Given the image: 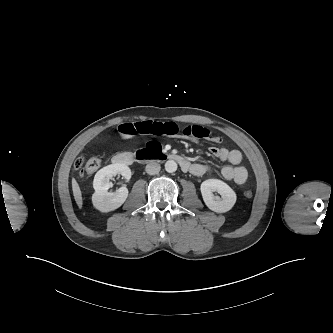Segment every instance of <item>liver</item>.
Here are the masks:
<instances>
[{
    "label": "liver",
    "mask_w": 333,
    "mask_h": 333,
    "mask_svg": "<svg viewBox=\"0 0 333 333\" xmlns=\"http://www.w3.org/2000/svg\"><path fill=\"white\" fill-rule=\"evenodd\" d=\"M72 190L73 196L79 208H82L83 200H82V193L77 181L73 178L72 179Z\"/></svg>",
    "instance_id": "6515ba94"
}]
</instances>
